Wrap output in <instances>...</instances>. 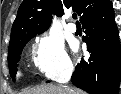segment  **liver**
Masks as SVG:
<instances>
[{
	"label": "liver",
	"instance_id": "1",
	"mask_svg": "<svg viewBox=\"0 0 121 94\" xmlns=\"http://www.w3.org/2000/svg\"><path fill=\"white\" fill-rule=\"evenodd\" d=\"M19 94H85L76 88L67 90L64 86L55 84H42L31 89H25Z\"/></svg>",
	"mask_w": 121,
	"mask_h": 94
}]
</instances>
